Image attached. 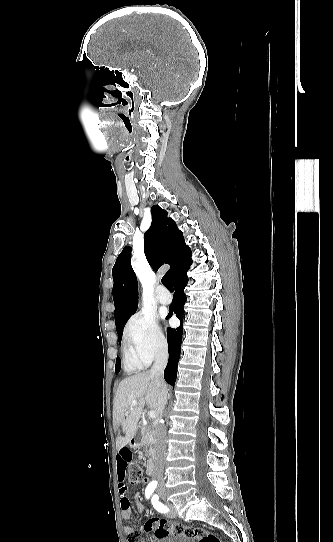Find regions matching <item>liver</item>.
<instances>
[{
	"mask_svg": "<svg viewBox=\"0 0 333 542\" xmlns=\"http://www.w3.org/2000/svg\"><path fill=\"white\" fill-rule=\"evenodd\" d=\"M158 390L159 386L154 376H150L149 370L142 374L128 376L120 382L114 396L113 426L114 430L121 426L125 436L116 438V450H121L134 438L144 406H147L151 412H156L157 418ZM133 402H138V406H134L131 410Z\"/></svg>",
	"mask_w": 333,
	"mask_h": 542,
	"instance_id": "liver-1",
	"label": "liver"
}]
</instances>
